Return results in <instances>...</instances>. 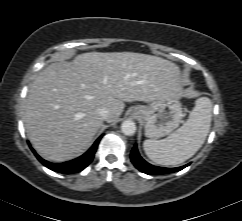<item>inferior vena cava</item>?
Returning a JSON list of instances; mask_svg holds the SVG:
<instances>
[{"instance_id":"obj_1","label":"inferior vena cava","mask_w":242,"mask_h":221,"mask_svg":"<svg viewBox=\"0 0 242 221\" xmlns=\"http://www.w3.org/2000/svg\"><path fill=\"white\" fill-rule=\"evenodd\" d=\"M98 114H99V116H100L103 120H107L108 117H109L110 112H109V110L106 109V108H101V109L98 110Z\"/></svg>"}]
</instances>
